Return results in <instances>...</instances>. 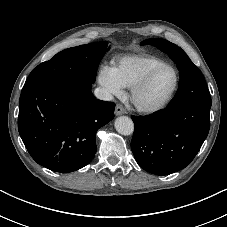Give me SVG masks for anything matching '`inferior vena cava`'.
<instances>
[{
    "label": "inferior vena cava",
    "mask_w": 227,
    "mask_h": 227,
    "mask_svg": "<svg viewBox=\"0 0 227 227\" xmlns=\"http://www.w3.org/2000/svg\"><path fill=\"white\" fill-rule=\"evenodd\" d=\"M94 95L97 99L104 100V101H112L113 96L104 88H96L94 91Z\"/></svg>",
    "instance_id": "obj_1"
}]
</instances>
